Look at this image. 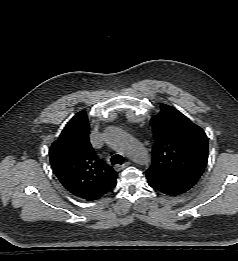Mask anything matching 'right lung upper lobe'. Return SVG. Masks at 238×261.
Segmentation results:
<instances>
[{"instance_id": "obj_1", "label": "right lung upper lobe", "mask_w": 238, "mask_h": 261, "mask_svg": "<svg viewBox=\"0 0 238 261\" xmlns=\"http://www.w3.org/2000/svg\"><path fill=\"white\" fill-rule=\"evenodd\" d=\"M89 130L86 112H78L53 142L49 157L61 184L73 195L93 201L115 187L118 173L96 155Z\"/></svg>"}]
</instances>
